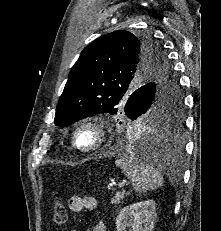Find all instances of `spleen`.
<instances>
[{
	"instance_id": "spleen-1",
	"label": "spleen",
	"mask_w": 221,
	"mask_h": 231,
	"mask_svg": "<svg viewBox=\"0 0 221 231\" xmlns=\"http://www.w3.org/2000/svg\"><path fill=\"white\" fill-rule=\"evenodd\" d=\"M124 175L134 182V190L138 193H145L149 190H156L163 185V177L160 172L147 160H141L130 155L115 161Z\"/></svg>"
}]
</instances>
